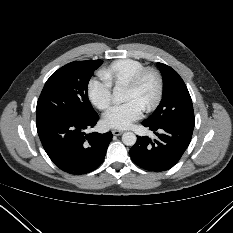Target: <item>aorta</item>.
<instances>
[{"label":"aorta","instance_id":"obj_1","mask_svg":"<svg viewBox=\"0 0 233 233\" xmlns=\"http://www.w3.org/2000/svg\"><path fill=\"white\" fill-rule=\"evenodd\" d=\"M120 94V89L118 87L114 88V95L116 97H119ZM137 137L133 132H125L122 135V142L126 145V146H133L136 143Z\"/></svg>","mask_w":233,"mask_h":233}]
</instances>
